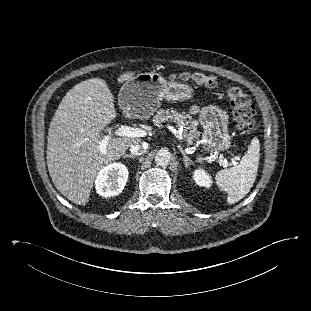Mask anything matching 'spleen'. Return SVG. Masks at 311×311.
<instances>
[{
  "instance_id": "spleen-1",
  "label": "spleen",
  "mask_w": 311,
  "mask_h": 311,
  "mask_svg": "<svg viewBox=\"0 0 311 311\" xmlns=\"http://www.w3.org/2000/svg\"><path fill=\"white\" fill-rule=\"evenodd\" d=\"M260 158V143L254 137L240 163L216 174V184L228 193L227 202L234 204L244 198L253 187Z\"/></svg>"
}]
</instances>
